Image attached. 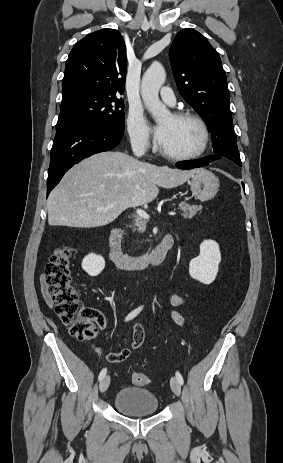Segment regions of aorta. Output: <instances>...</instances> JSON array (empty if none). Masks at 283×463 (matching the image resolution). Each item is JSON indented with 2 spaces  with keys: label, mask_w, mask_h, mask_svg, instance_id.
Instances as JSON below:
<instances>
[{
  "label": "aorta",
  "mask_w": 283,
  "mask_h": 463,
  "mask_svg": "<svg viewBox=\"0 0 283 463\" xmlns=\"http://www.w3.org/2000/svg\"><path fill=\"white\" fill-rule=\"evenodd\" d=\"M165 78V69L159 62L152 63L142 77L141 96L145 107L156 121L168 114L166 106L159 99V89Z\"/></svg>",
  "instance_id": "obj_1"
}]
</instances>
